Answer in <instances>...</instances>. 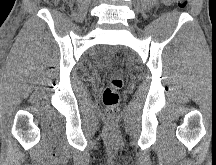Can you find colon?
I'll return each instance as SVG.
<instances>
[{
  "instance_id": "obj_1",
  "label": "colon",
  "mask_w": 216,
  "mask_h": 165,
  "mask_svg": "<svg viewBox=\"0 0 216 165\" xmlns=\"http://www.w3.org/2000/svg\"><path fill=\"white\" fill-rule=\"evenodd\" d=\"M47 4L54 5L57 0H45ZM188 0H177L179 8L184 9L187 7ZM124 84L123 77L120 72H113L109 76L108 84L103 90L102 101L106 107L107 115L110 119H114L119 112V91Z\"/></svg>"
}]
</instances>
